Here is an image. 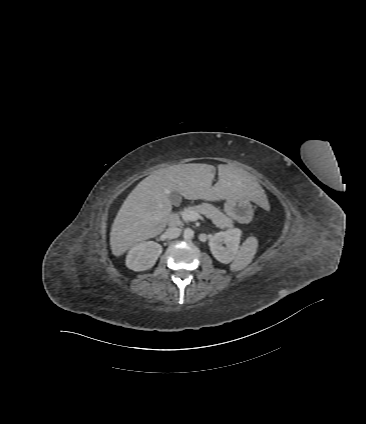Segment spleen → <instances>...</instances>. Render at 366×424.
<instances>
[{"mask_svg":"<svg viewBox=\"0 0 366 424\" xmlns=\"http://www.w3.org/2000/svg\"><path fill=\"white\" fill-rule=\"evenodd\" d=\"M258 240L256 237H248L241 245L233 263L230 266L232 271H240L247 267L254 258L257 251Z\"/></svg>","mask_w":366,"mask_h":424,"instance_id":"spleen-1","label":"spleen"}]
</instances>
